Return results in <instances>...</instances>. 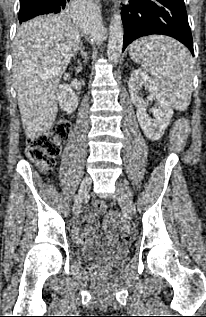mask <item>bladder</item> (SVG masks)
<instances>
[{"instance_id": "obj_1", "label": "bladder", "mask_w": 206, "mask_h": 317, "mask_svg": "<svg viewBox=\"0 0 206 317\" xmlns=\"http://www.w3.org/2000/svg\"><path fill=\"white\" fill-rule=\"evenodd\" d=\"M129 254L126 244L112 239L99 238L77 248L75 256L79 261H96L101 259L116 260Z\"/></svg>"}]
</instances>
